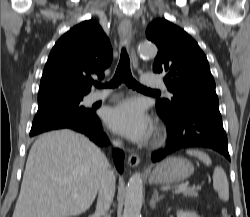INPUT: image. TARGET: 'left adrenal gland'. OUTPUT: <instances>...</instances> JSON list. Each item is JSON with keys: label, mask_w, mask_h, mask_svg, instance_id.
<instances>
[{"label": "left adrenal gland", "mask_w": 250, "mask_h": 217, "mask_svg": "<svg viewBox=\"0 0 250 217\" xmlns=\"http://www.w3.org/2000/svg\"><path fill=\"white\" fill-rule=\"evenodd\" d=\"M164 197V195L159 196L157 189L154 190L152 199L150 201V207L154 208L156 203L161 200Z\"/></svg>", "instance_id": "left-adrenal-gland-1"}]
</instances>
